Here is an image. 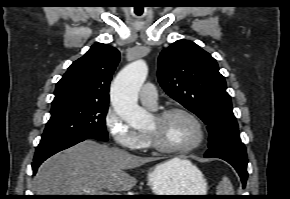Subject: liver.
<instances>
[{
	"mask_svg": "<svg viewBox=\"0 0 290 199\" xmlns=\"http://www.w3.org/2000/svg\"><path fill=\"white\" fill-rule=\"evenodd\" d=\"M155 158L129 154L94 140H85L48 158L35 176L37 195H91L89 190L129 191L137 179L126 172ZM169 167L188 160L173 158Z\"/></svg>",
	"mask_w": 290,
	"mask_h": 199,
	"instance_id": "liver-1",
	"label": "liver"
}]
</instances>
